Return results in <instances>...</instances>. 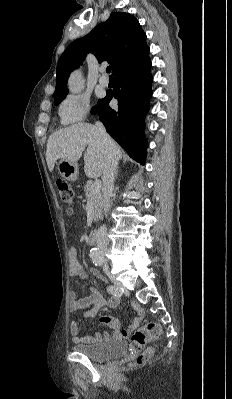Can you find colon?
<instances>
[{
	"mask_svg": "<svg viewBox=\"0 0 232 399\" xmlns=\"http://www.w3.org/2000/svg\"><path fill=\"white\" fill-rule=\"evenodd\" d=\"M68 180H56L58 191H61V200L68 199L69 202L73 201V186L67 184ZM67 216H72V207H67ZM158 322L150 321L149 326H137L136 330H132L130 334V353H139L140 358H136L135 361L130 362L131 368H136L137 365L142 364L144 361H149L151 356L150 351H145V347H149V341H156L157 337H162V330H158Z\"/></svg>",
	"mask_w": 232,
	"mask_h": 399,
	"instance_id": "5ec220e1",
	"label": "colon"
}]
</instances>
